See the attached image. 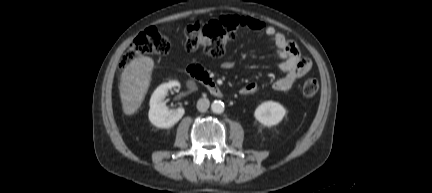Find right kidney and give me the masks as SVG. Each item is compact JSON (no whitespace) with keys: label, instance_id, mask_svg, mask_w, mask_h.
<instances>
[{"label":"right kidney","instance_id":"ca27d5eb","mask_svg":"<svg viewBox=\"0 0 432 193\" xmlns=\"http://www.w3.org/2000/svg\"><path fill=\"white\" fill-rule=\"evenodd\" d=\"M176 86L180 87V83L178 81H170L168 83L161 84L153 92L150 99L148 117L154 126L159 128H170L183 117L185 113L183 108L169 110L166 106V103L164 102L168 90Z\"/></svg>","mask_w":432,"mask_h":193}]
</instances>
